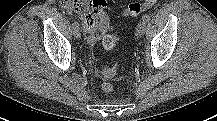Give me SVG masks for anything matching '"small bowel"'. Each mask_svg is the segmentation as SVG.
<instances>
[{"label": "small bowel", "mask_w": 217, "mask_h": 121, "mask_svg": "<svg viewBox=\"0 0 217 121\" xmlns=\"http://www.w3.org/2000/svg\"><path fill=\"white\" fill-rule=\"evenodd\" d=\"M105 21H106V29H105V32L102 33V34H99V35H95L94 33L89 32V36H88V43L90 45H94L95 43H97L99 40H101V38L104 36V34L108 31H111L113 30V25L110 23L108 17L106 16L105 17Z\"/></svg>", "instance_id": "1"}]
</instances>
